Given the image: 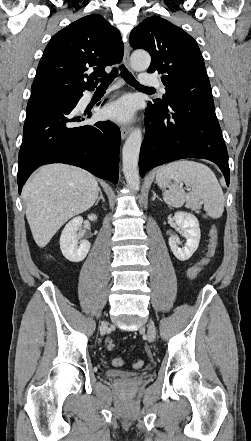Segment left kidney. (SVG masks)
I'll list each match as a JSON object with an SVG mask.
<instances>
[{
  "label": "left kidney",
  "instance_id": "5707ae66",
  "mask_svg": "<svg viewBox=\"0 0 251 441\" xmlns=\"http://www.w3.org/2000/svg\"><path fill=\"white\" fill-rule=\"evenodd\" d=\"M175 223L179 226L186 238V243L183 248L177 244L175 236L168 239L169 246L174 256L180 261L188 260L197 250L200 242V227L198 219L189 212L178 211L174 214Z\"/></svg>",
  "mask_w": 251,
  "mask_h": 441
}]
</instances>
